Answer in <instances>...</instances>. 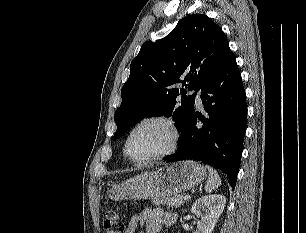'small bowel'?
<instances>
[{
  "instance_id": "small-bowel-1",
  "label": "small bowel",
  "mask_w": 306,
  "mask_h": 233,
  "mask_svg": "<svg viewBox=\"0 0 306 233\" xmlns=\"http://www.w3.org/2000/svg\"><path fill=\"white\" fill-rule=\"evenodd\" d=\"M177 220V215L172 212H165L159 208H146L142 212L135 214L130 219L125 233H159L161 227L173 226Z\"/></svg>"
}]
</instances>
